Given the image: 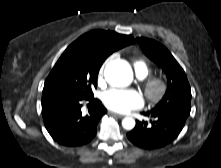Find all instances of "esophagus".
Masks as SVG:
<instances>
[{"instance_id":"34e87169","label":"esophagus","mask_w":221,"mask_h":168,"mask_svg":"<svg viewBox=\"0 0 221 168\" xmlns=\"http://www.w3.org/2000/svg\"><path fill=\"white\" fill-rule=\"evenodd\" d=\"M110 114L115 116V117H118V118L124 117V115H121V114H118V113H115V112H110Z\"/></svg>"}]
</instances>
